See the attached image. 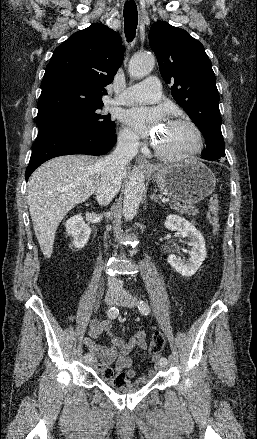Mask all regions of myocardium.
<instances>
[{"instance_id": "f54148a6", "label": "myocardium", "mask_w": 257, "mask_h": 439, "mask_svg": "<svg viewBox=\"0 0 257 439\" xmlns=\"http://www.w3.org/2000/svg\"><path fill=\"white\" fill-rule=\"evenodd\" d=\"M167 124H173V125H186L190 127L194 133L196 145L193 149L184 152V153H168L163 151L161 148L158 147V145H154V150L156 155L165 161L170 162H179L184 160H189L194 158L195 156L199 155L204 147V139L202 132L200 128L191 120L186 118H176L169 120Z\"/></svg>"}]
</instances>
